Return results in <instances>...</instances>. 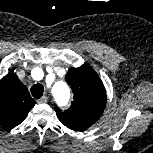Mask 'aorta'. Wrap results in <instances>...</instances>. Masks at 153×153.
Masks as SVG:
<instances>
[{"instance_id":"aorta-1","label":"aorta","mask_w":153,"mask_h":153,"mask_svg":"<svg viewBox=\"0 0 153 153\" xmlns=\"http://www.w3.org/2000/svg\"><path fill=\"white\" fill-rule=\"evenodd\" d=\"M53 94L57 101L66 103L69 99V87L61 81L55 82L53 86Z\"/></svg>"}]
</instances>
